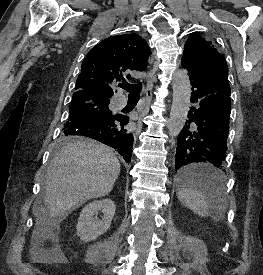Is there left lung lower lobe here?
I'll use <instances>...</instances> for the list:
<instances>
[{
    "mask_svg": "<svg viewBox=\"0 0 263 275\" xmlns=\"http://www.w3.org/2000/svg\"><path fill=\"white\" fill-rule=\"evenodd\" d=\"M182 66L188 71L192 86L190 100L196 106L190 107L188 120L178 136L175 169L179 180L197 184L213 195L220 178L197 163L221 169L225 162L231 113L228 68L191 63Z\"/></svg>",
    "mask_w": 263,
    "mask_h": 275,
    "instance_id": "0a47b994",
    "label": "left lung lower lobe"
}]
</instances>
